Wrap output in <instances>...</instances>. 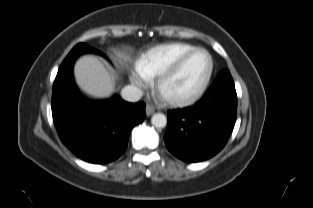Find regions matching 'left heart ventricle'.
<instances>
[{
  "mask_svg": "<svg viewBox=\"0 0 313 208\" xmlns=\"http://www.w3.org/2000/svg\"><path fill=\"white\" fill-rule=\"evenodd\" d=\"M208 58L204 53L192 56L179 74L167 85V92L172 95H188L201 84L207 69Z\"/></svg>",
  "mask_w": 313,
  "mask_h": 208,
  "instance_id": "b2bd125f",
  "label": "left heart ventricle"
}]
</instances>
